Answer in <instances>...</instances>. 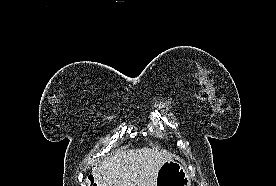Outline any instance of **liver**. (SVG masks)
Listing matches in <instances>:
<instances>
[{"label": "liver", "mask_w": 276, "mask_h": 186, "mask_svg": "<svg viewBox=\"0 0 276 186\" xmlns=\"http://www.w3.org/2000/svg\"><path fill=\"white\" fill-rule=\"evenodd\" d=\"M172 159L166 151L147 147L118 151L92 168L97 186H155L161 165Z\"/></svg>", "instance_id": "obj_1"}]
</instances>
